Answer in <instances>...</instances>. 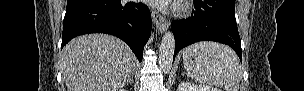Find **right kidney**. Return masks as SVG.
<instances>
[{
  "mask_svg": "<svg viewBox=\"0 0 304 91\" xmlns=\"http://www.w3.org/2000/svg\"><path fill=\"white\" fill-rule=\"evenodd\" d=\"M121 91H126V89H121Z\"/></svg>",
  "mask_w": 304,
  "mask_h": 91,
  "instance_id": "ca27d5eb",
  "label": "right kidney"
}]
</instances>
